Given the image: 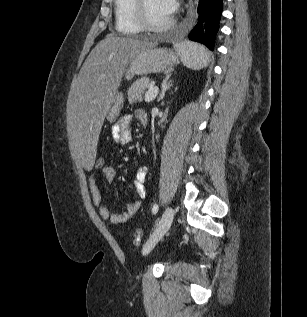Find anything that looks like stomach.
<instances>
[{
	"label": "stomach",
	"mask_w": 307,
	"mask_h": 317,
	"mask_svg": "<svg viewBox=\"0 0 307 317\" xmlns=\"http://www.w3.org/2000/svg\"><path fill=\"white\" fill-rule=\"evenodd\" d=\"M177 62L178 58L173 52L163 48L150 47L130 59L123 75L125 79L131 80L135 75L163 72ZM123 102V94L116 92L107 113L109 121L117 119Z\"/></svg>",
	"instance_id": "1"
}]
</instances>
